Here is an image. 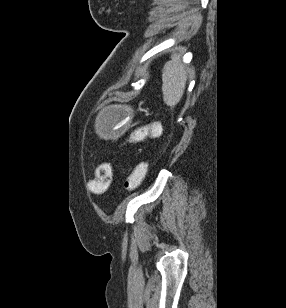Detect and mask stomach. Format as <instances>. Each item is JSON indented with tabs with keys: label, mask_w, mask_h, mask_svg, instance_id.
<instances>
[{
	"label": "stomach",
	"mask_w": 286,
	"mask_h": 308,
	"mask_svg": "<svg viewBox=\"0 0 286 308\" xmlns=\"http://www.w3.org/2000/svg\"><path fill=\"white\" fill-rule=\"evenodd\" d=\"M101 125H95V132H100V144H125V137H118V132H125L127 125L123 107H116L115 112H97Z\"/></svg>",
	"instance_id": "obj_1"
}]
</instances>
